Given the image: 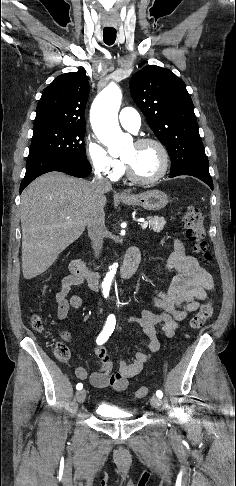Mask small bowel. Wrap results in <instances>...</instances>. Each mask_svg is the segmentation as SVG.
<instances>
[{
  "label": "small bowel",
  "instance_id": "1",
  "mask_svg": "<svg viewBox=\"0 0 236 486\" xmlns=\"http://www.w3.org/2000/svg\"><path fill=\"white\" fill-rule=\"evenodd\" d=\"M164 269L177 272L166 290L156 291L151 302L162 310L161 313H152L143 308L138 316H130L128 321L138 324L149 338V352H135L131 361L121 360L117 371H113V363L105 348L95 350L100 360V368L89 376L91 384L97 388H109L114 391H123L127 388L129 379L137 376L148 361L150 354L156 353L160 343L156 334V327L161 326L167 337L174 336L180 322L189 314L199 308L200 301L205 300L208 293L213 290L211 275L200 266L199 262L185 253L184 245L179 239L174 240V250L162 265ZM82 281L74 275L62 279L55 295L57 302L56 316L59 320L67 317L72 309L81 306V298L73 294L76 287H81ZM64 339H69L67 332H62ZM75 375L80 380L88 378L85 367L78 366Z\"/></svg>",
  "mask_w": 236,
  "mask_h": 486
}]
</instances>
